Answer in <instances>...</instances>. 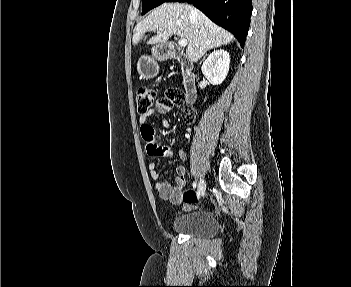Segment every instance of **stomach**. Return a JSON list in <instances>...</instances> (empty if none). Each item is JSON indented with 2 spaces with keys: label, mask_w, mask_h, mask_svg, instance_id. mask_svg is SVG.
Segmentation results:
<instances>
[{
  "label": "stomach",
  "mask_w": 351,
  "mask_h": 287,
  "mask_svg": "<svg viewBox=\"0 0 351 287\" xmlns=\"http://www.w3.org/2000/svg\"><path fill=\"white\" fill-rule=\"evenodd\" d=\"M168 56L167 53L163 51V47L157 45L152 48V56H142L137 64L138 73L144 79H150L157 75L159 71V66L157 60L165 59Z\"/></svg>",
  "instance_id": "obj_1"
}]
</instances>
